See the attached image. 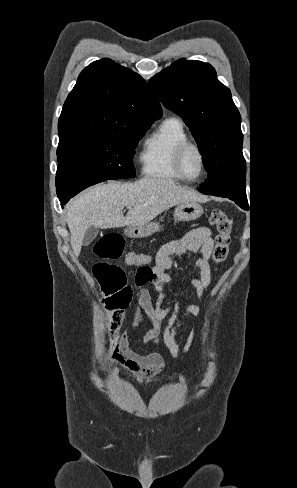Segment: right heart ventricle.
Here are the masks:
<instances>
[{"instance_id": "e07e8e85", "label": "right heart ventricle", "mask_w": 297, "mask_h": 488, "mask_svg": "<svg viewBox=\"0 0 297 488\" xmlns=\"http://www.w3.org/2000/svg\"><path fill=\"white\" fill-rule=\"evenodd\" d=\"M189 141L181 120L169 117L163 120L145 139L140 154L142 173L162 181L181 180L173 166L177 147Z\"/></svg>"}]
</instances>
